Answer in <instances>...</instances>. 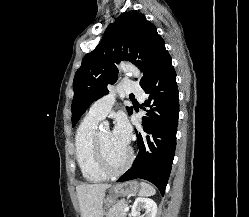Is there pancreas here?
<instances>
[{"instance_id": "1", "label": "pancreas", "mask_w": 249, "mask_h": 217, "mask_svg": "<svg viewBox=\"0 0 249 217\" xmlns=\"http://www.w3.org/2000/svg\"><path fill=\"white\" fill-rule=\"evenodd\" d=\"M126 206V201L121 200L113 205L112 208L106 214V217H126V212H124V208Z\"/></svg>"}]
</instances>
